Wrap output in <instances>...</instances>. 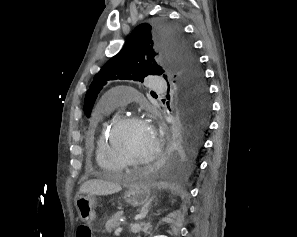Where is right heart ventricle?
Here are the masks:
<instances>
[{"instance_id":"e07e8e85","label":"right heart ventricle","mask_w":297,"mask_h":237,"mask_svg":"<svg viewBox=\"0 0 297 237\" xmlns=\"http://www.w3.org/2000/svg\"><path fill=\"white\" fill-rule=\"evenodd\" d=\"M111 110V107L102 106L100 115L105 116L110 113ZM116 120L117 118H114L110 121H103L101 123L100 132L95 146L97 164L108 175H115L125 168V166H123V164L113 155L108 141L109 132Z\"/></svg>"}]
</instances>
